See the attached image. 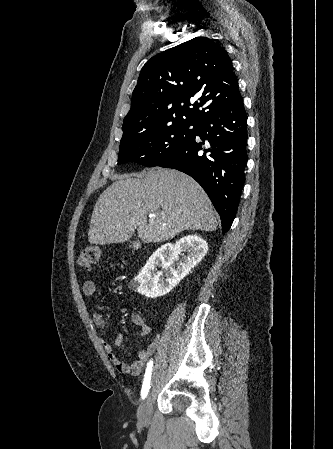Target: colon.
Returning <instances> with one entry per match:
<instances>
[{
    "label": "colon",
    "instance_id": "colon-1",
    "mask_svg": "<svg viewBox=\"0 0 333 449\" xmlns=\"http://www.w3.org/2000/svg\"><path fill=\"white\" fill-rule=\"evenodd\" d=\"M100 256H101L100 248L98 246L90 245L82 250L78 258V262L82 267L90 268L91 266L97 263Z\"/></svg>",
    "mask_w": 333,
    "mask_h": 449
}]
</instances>
